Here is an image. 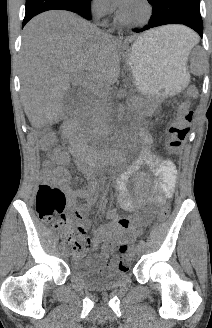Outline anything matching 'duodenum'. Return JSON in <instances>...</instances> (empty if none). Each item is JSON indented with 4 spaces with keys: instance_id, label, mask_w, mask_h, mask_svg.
Masks as SVG:
<instances>
[{
    "instance_id": "duodenum-1",
    "label": "duodenum",
    "mask_w": 212,
    "mask_h": 328,
    "mask_svg": "<svg viewBox=\"0 0 212 328\" xmlns=\"http://www.w3.org/2000/svg\"><path fill=\"white\" fill-rule=\"evenodd\" d=\"M84 96L90 97L91 94L88 92H85ZM77 113L73 112L70 114L69 117H67L63 122V130L65 134L70 138L71 141V148L72 152L76 156V158L79 161L80 167L85 172H90V166L88 161V155L90 148L87 145V143L77 134L75 129V119H76Z\"/></svg>"
}]
</instances>
